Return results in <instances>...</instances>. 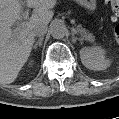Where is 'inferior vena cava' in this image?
<instances>
[{
	"mask_svg": "<svg viewBox=\"0 0 119 119\" xmlns=\"http://www.w3.org/2000/svg\"><path fill=\"white\" fill-rule=\"evenodd\" d=\"M47 28L46 24H39L34 27L33 31L35 35L41 36L47 32Z\"/></svg>",
	"mask_w": 119,
	"mask_h": 119,
	"instance_id": "602c4592",
	"label": "inferior vena cava"
}]
</instances>
